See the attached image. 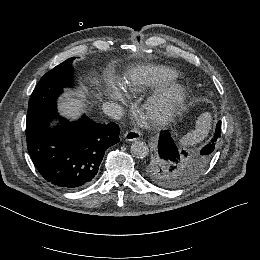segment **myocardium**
<instances>
[{"instance_id":"obj_1","label":"myocardium","mask_w":260,"mask_h":260,"mask_svg":"<svg viewBox=\"0 0 260 260\" xmlns=\"http://www.w3.org/2000/svg\"><path fill=\"white\" fill-rule=\"evenodd\" d=\"M190 98L189 87L183 83H173L163 87L148 104L144 111L150 122L163 124L169 121L170 117L181 109Z\"/></svg>"}]
</instances>
